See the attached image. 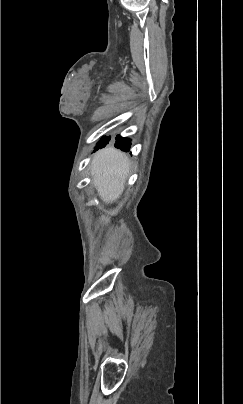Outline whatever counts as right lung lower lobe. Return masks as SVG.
<instances>
[{
    "label": "right lung lower lobe",
    "mask_w": 243,
    "mask_h": 404,
    "mask_svg": "<svg viewBox=\"0 0 243 404\" xmlns=\"http://www.w3.org/2000/svg\"><path fill=\"white\" fill-rule=\"evenodd\" d=\"M130 145L131 142L129 141L128 138H124L119 135L116 137V143H115L116 148H119L123 151H129Z\"/></svg>",
    "instance_id": "98d812e1"
}]
</instances>
